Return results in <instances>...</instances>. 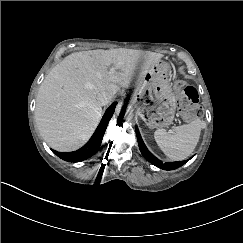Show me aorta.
Segmentation results:
<instances>
[{
	"instance_id": "obj_1",
	"label": "aorta",
	"mask_w": 243,
	"mask_h": 243,
	"mask_svg": "<svg viewBox=\"0 0 243 243\" xmlns=\"http://www.w3.org/2000/svg\"><path fill=\"white\" fill-rule=\"evenodd\" d=\"M115 112L120 118L127 119L131 116L132 109L128 102L119 101L115 105Z\"/></svg>"
}]
</instances>
